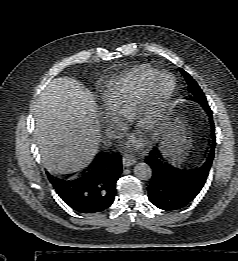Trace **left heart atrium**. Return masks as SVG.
<instances>
[{"mask_svg": "<svg viewBox=\"0 0 238 261\" xmlns=\"http://www.w3.org/2000/svg\"><path fill=\"white\" fill-rule=\"evenodd\" d=\"M143 145V141L141 138L137 137V136H132L127 144H126V148L130 151L133 150H138L141 148V146Z\"/></svg>", "mask_w": 238, "mask_h": 261, "instance_id": "39dd6f15", "label": "left heart atrium"}]
</instances>
